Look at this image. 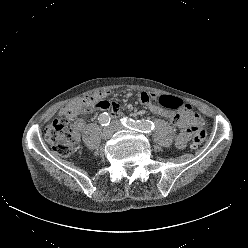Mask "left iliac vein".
Masks as SVG:
<instances>
[{
    "label": "left iliac vein",
    "instance_id": "1",
    "mask_svg": "<svg viewBox=\"0 0 248 248\" xmlns=\"http://www.w3.org/2000/svg\"><path fill=\"white\" fill-rule=\"evenodd\" d=\"M111 127L115 130V131H122L124 129H126L122 124H120L117 121L112 122Z\"/></svg>",
    "mask_w": 248,
    "mask_h": 248
}]
</instances>
